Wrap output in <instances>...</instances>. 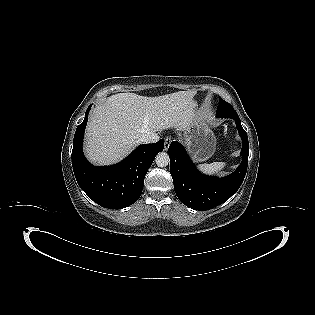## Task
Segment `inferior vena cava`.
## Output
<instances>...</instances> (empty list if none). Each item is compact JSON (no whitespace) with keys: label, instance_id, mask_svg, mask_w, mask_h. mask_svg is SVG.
<instances>
[{"label":"inferior vena cava","instance_id":"602c4592","mask_svg":"<svg viewBox=\"0 0 315 315\" xmlns=\"http://www.w3.org/2000/svg\"><path fill=\"white\" fill-rule=\"evenodd\" d=\"M158 139H159V136L156 133L150 132V133L142 135V137L140 138V141L143 143H154V142H157Z\"/></svg>","mask_w":315,"mask_h":315}]
</instances>
